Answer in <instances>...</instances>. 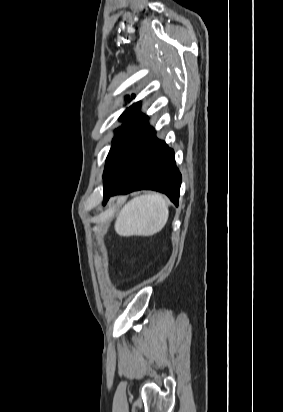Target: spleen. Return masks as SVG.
I'll list each match as a JSON object with an SVG mask.
<instances>
[{
    "label": "spleen",
    "mask_w": 283,
    "mask_h": 412,
    "mask_svg": "<svg viewBox=\"0 0 283 412\" xmlns=\"http://www.w3.org/2000/svg\"><path fill=\"white\" fill-rule=\"evenodd\" d=\"M168 217V205L162 195H141L121 209L115 222V231L124 237L152 236L163 229Z\"/></svg>",
    "instance_id": "3e777b00"
}]
</instances>
